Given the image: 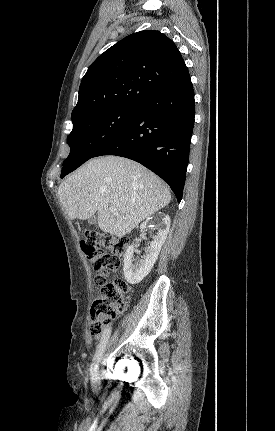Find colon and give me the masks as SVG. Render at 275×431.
Instances as JSON below:
<instances>
[{"label": "colon", "instance_id": "5ec220e1", "mask_svg": "<svg viewBox=\"0 0 275 431\" xmlns=\"http://www.w3.org/2000/svg\"><path fill=\"white\" fill-rule=\"evenodd\" d=\"M128 240L99 232H90L81 241V249L89 258L95 271V281L101 285L100 295L91 307L90 333L99 336L104 326L125 309L129 286L122 278L107 282V278L122 265Z\"/></svg>", "mask_w": 275, "mask_h": 431}]
</instances>
